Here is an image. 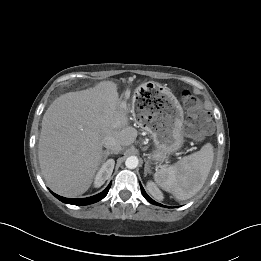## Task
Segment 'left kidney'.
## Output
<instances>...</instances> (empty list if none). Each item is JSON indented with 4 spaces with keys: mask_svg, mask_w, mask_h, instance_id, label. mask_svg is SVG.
<instances>
[{
    "mask_svg": "<svg viewBox=\"0 0 261 261\" xmlns=\"http://www.w3.org/2000/svg\"><path fill=\"white\" fill-rule=\"evenodd\" d=\"M147 190L149 191V193L156 198L157 200H162L163 199V194L162 192L159 190V188L156 186V184L152 181H148L147 182Z\"/></svg>",
    "mask_w": 261,
    "mask_h": 261,
    "instance_id": "left-kidney-1",
    "label": "left kidney"
}]
</instances>
